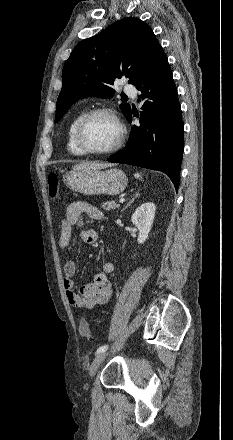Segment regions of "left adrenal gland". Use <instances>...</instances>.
<instances>
[{
	"instance_id": "left-adrenal-gland-1",
	"label": "left adrenal gland",
	"mask_w": 233,
	"mask_h": 440,
	"mask_svg": "<svg viewBox=\"0 0 233 440\" xmlns=\"http://www.w3.org/2000/svg\"><path fill=\"white\" fill-rule=\"evenodd\" d=\"M140 196V194L139 193H136L135 194V196L127 203V205L122 209V211H124L125 209H127L133 202H134V200L137 198V197H139Z\"/></svg>"
}]
</instances>
